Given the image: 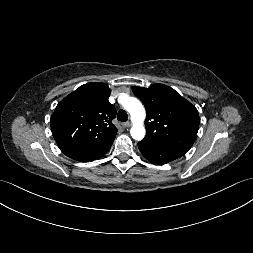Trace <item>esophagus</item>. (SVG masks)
Segmentation results:
<instances>
[{"label":"esophagus","mask_w":253,"mask_h":253,"mask_svg":"<svg viewBox=\"0 0 253 253\" xmlns=\"http://www.w3.org/2000/svg\"><path fill=\"white\" fill-rule=\"evenodd\" d=\"M122 126H123L124 128H128V127L131 126V123H130V122H124V123H122Z\"/></svg>","instance_id":"obj_1"}]
</instances>
